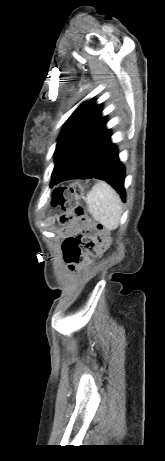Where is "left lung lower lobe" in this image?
<instances>
[{
	"label": "left lung lower lobe",
	"mask_w": 165,
	"mask_h": 461,
	"mask_svg": "<svg viewBox=\"0 0 165 461\" xmlns=\"http://www.w3.org/2000/svg\"><path fill=\"white\" fill-rule=\"evenodd\" d=\"M105 126L106 117H101L75 144L52 173L51 187L69 179L98 178L113 186L125 201L124 165Z\"/></svg>",
	"instance_id": "obj_1"
}]
</instances>
